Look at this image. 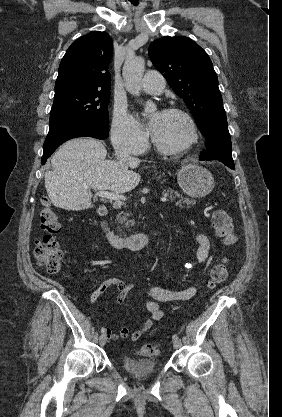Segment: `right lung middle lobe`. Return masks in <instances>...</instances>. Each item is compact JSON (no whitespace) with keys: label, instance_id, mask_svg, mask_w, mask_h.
Instances as JSON below:
<instances>
[{"label":"right lung middle lobe","instance_id":"dd1d6c3e","mask_svg":"<svg viewBox=\"0 0 282 417\" xmlns=\"http://www.w3.org/2000/svg\"><path fill=\"white\" fill-rule=\"evenodd\" d=\"M110 91L72 89L55 92L50 113V127L69 121L82 120L109 132L108 104Z\"/></svg>","mask_w":282,"mask_h":417}]
</instances>
